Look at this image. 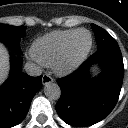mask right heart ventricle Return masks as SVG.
<instances>
[{
  "label": "right heart ventricle",
  "mask_w": 128,
  "mask_h": 128,
  "mask_svg": "<svg viewBox=\"0 0 128 128\" xmlns=\"http://www.w3.org/2000/svg\"><path fill=\"white\" fill-rule=\"evenodd\" d=\"M77 30H57L37 38L31 47L33 58L43 65L53 66Z\"/></svg>",
  "instance_id": "1"
}]
</instances>
